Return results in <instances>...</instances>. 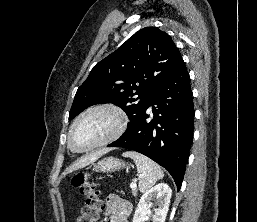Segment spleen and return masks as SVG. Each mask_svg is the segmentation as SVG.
Masks as SVG:
<instances>
[{
  "mask_svg": "<svg viewBox=\"0 0 257 222\" xmlns=\"http://www.w3.org/2000/svg\"><path fill=\"white\" fill-rule=\"evenodd\" d=\"M124 157L132 158L137 166V172L139 173V190L145 192L150 189L157 180L164 177V173L159 165L148 157L134 152L127 151L123 153Z\"/></svg>",
  "mask_w": 257,
  "mask_h": 222,
  "instance_id": "obj_1",
  "label": "spleen"
}]
</instances>
